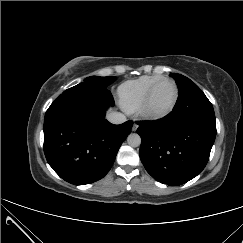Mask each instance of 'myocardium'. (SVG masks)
<instances>
[{
  "mask_svg": "<svg viewBox=\"0 0 243 243\" xmlns=\"http://www.w3.org/2000/svg\"><path fill=\"white\" fill-rule=\"evenodd\" d=\"M165 82H171L174 85L175 96H174L172 103L170 104V106L167 109H165L164 111H161V112H155L150 108L151 100H152V97H153L155 91L157 90V88ZM178 100H179V88H178V85L175 82V80L170 79V78H163V79L159 80L158 82H156L151 87V89L147 93L143 103L141 104V106L139 108V113L146 120H150V121L162 120L172 113V111L174 110V108L177 105Z\"/></svg>",
  "mask_w": 243,
  "mask_h": 243,
  "instance_id": "myocardium-1",
  "label": "myocardium"
}]
</instances>
